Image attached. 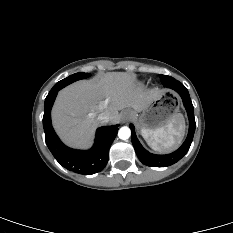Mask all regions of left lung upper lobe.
Instances as JSON below:
<instances>
[{"label": "left lung upper lobe", "mask_w": 233, "mask_h": 233, "mask_svg": "<svg viewBox=\"0 0 233 233\" xmlns=\"http://www.w3.org/2000/svg\"><path fill=\"white\" fill-rule=\"evenodd\" d=\"M161 82L164 86H166L167 84H169L170 82H172L174 80V78L167 76V75H159Z\"/></svg>", "instance_id": "1"}]
</instances>
